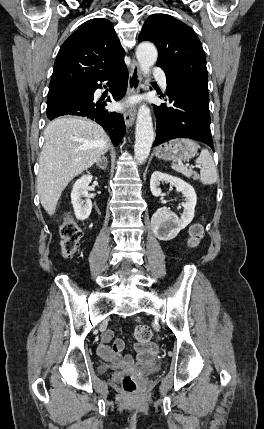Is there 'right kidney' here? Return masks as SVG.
I'll use <instances>...</instances> for the list:
<instances>
[{
    "label": "right kidney",
    "instance_id": "1",
    "mask_svg": "<svg viewBox=\"0 0 264 429\" xmlns=\"http://www.w3.org/2000/svg\"><path fill=\"white\" fill-rule=\"evenodd\" d=\"M92 181L91 175H84L78 179L71 192V203L74 208L75 216L78 220H86L92 210V202L88 198V186ZM85 197V199H82Z\"/></svg>",
    "mask_w": 264,
    "mask_h": 429
}]
</instances>
